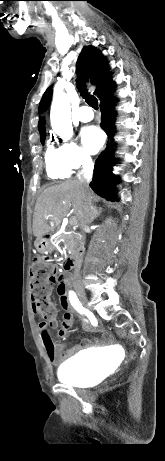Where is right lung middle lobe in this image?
Returning a JSON list of instances; mask_svg holds the SVG:
<instances>
[{
  "label": "right lung middle lobe",
  "mask_w": 165,
  "mask_h": 461,
  "mask_svg": "<svg viewBox=\"0 0 165 461\" xmlns=\"http://www.w3.org/2000/svg\"><path fill=\"white\" fill-rule=\"evenodd\" d=\"M44 139H45V134L40 136V140H41V143L43 144L44 143Z\"/></svg>",
  "instance_id": "1"
}]
</instances>
